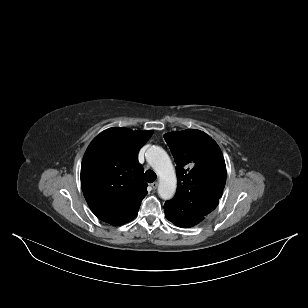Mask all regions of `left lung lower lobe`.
<instances>
[{
  "label": "left lung lower lobe",
  "mask_w": 308,
  "mask_h": 308,
  "mask_svg": "<svg viewBox=\"0 0 308 308\" xmlns=\"http://www.w3.org/2000/svg\"><path fill=\"white\" fill-rule=\"evenodd\" d=\"M204 219V217L202 218H198L189 222H185V223H174L176 226L182 227V228H189L192 226L197 225L199 222H201Z\"/></svg>",
  "instance_id": "1"
}]
</instances>
